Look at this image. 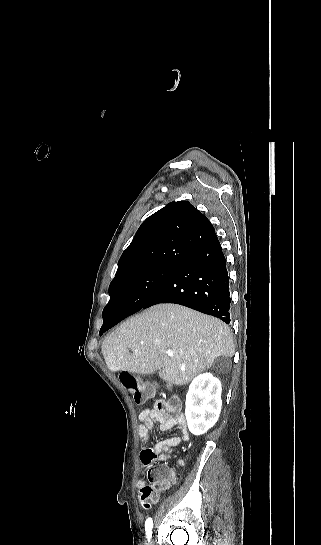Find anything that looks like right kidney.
Wrapping results in <instances>:
<instances>
[{
    "label": "right kidney",
    "instance_id": "right-kidney-1",
    "mask_svg": "<svg viewBox=\"0 0 321 545\" xmlns=\"http://www.w3.org/2000/svg\"><path fill=\"white\" fill-rule=\"evenodd\" d=\"M221 383L211 373L193 379L186 395V421L192 435H204L217 423L222 407Z\"/></svg>",
    "mask_w": 321,
    "mask_h": 545
}]
</instances>
